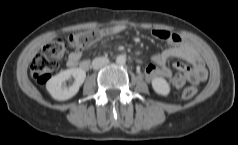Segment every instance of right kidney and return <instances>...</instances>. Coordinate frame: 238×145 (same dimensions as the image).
Here are the masks:
<instances>
[{
  "mask_svg": "<svg viewBox=\"0 0 238 145\" xmlns=\"http://www.w3.org/2000/svg\"><path fill=\"white\" fill-rule=\"evenodd\" d=\"M71 77L74 78V83L70 87L63 85ZM85 78L86 72L83 69L70 68L51 77L46 83V89L55 100H68L77 94Z\"/></svg>",
  "mask_w": 238,
  "mask_h": 145,
  "instance_id": "obj_1",
  "label": "right kidney"
}]
</instances>
